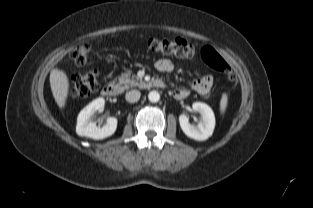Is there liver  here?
I'll use <instances>...</instances> for the list:
<instances>
[{"mask_svg": "<svg viewBox=\"0 0 313 208\" xmlns=\"http://www.w3.org/2000/svg\"><path fill=\"white\" fill-rule=\"evenodd\" d=\"M50 86L55 102L64 108L69 94V80L63 70L54 68L50 72Z\"/></svg>", "mask_w": 313, "mask_h": 208, "instance_id": "liver-1", "label": "liver"}]
</instances>
